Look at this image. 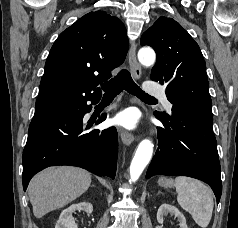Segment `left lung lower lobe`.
Listing matches in <instances>:
<instances>
[{
    "label": "left lung lower lobe",
    "instance_id": "1",
    "mask_svg": "<svg viewBox=\"0 0 238 228\" xmlns=\"http://www.w3.org/2000/svg\"><path fill=\"white\" fill-rule=\"evenodd\" d=\"M154 114L166 129L158 130L159 147L146 178L182 175L202 180L210 185L218 203L222 183L213 118L175 106L170 114Z\"/></svg>",
    "mask_w": 238,
    "mask_h": 228
}]
</instances>
